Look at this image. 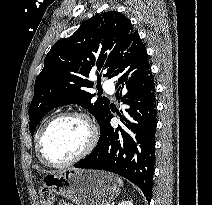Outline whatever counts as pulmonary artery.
Instances as JSON below:
<instances>
[{
  "instance_id": "e3ab8cb5",
  "label": "pulmonary artery",
  "mask_w": 212,
  "mask_h": 205,
  "mask_svg": "<svg viewBox=\"0 0 212 205\" xmlns=\"http://www.w3.org/2000/svg\"><path fill=\"white\" fill-rule=\"evenodd\" d=\"M103 88L106 92H108L109 94H113L114 93V84L112 81L110 80H106L103 83Z\"/></svg>"
}]
</instances>
